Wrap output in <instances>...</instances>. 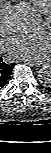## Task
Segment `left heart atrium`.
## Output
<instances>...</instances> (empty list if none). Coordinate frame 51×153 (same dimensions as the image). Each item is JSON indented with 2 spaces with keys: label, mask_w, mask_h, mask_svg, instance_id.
I'll use <instances>...</instances> for the list:
<instances>
[{
  "label": "left heart atrium",
  "mask_w": 51,
  "mask_h": 153,
  "mask_svg": "<svg viewBox=\"0 0 51 153\" xmlns=\"http://www.w3.org/2000/svg\"><path fill=\"white\" fill-rule=\"evenodd\" d=\"M8 51L23 60L37 61L51 47V37L47 32L16 35L7 41Z\"/></svg>",
  "instance_id": "1"
}]
</instances>
